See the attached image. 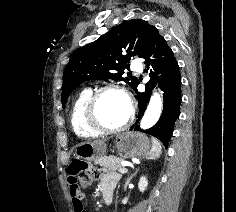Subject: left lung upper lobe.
<instances>
[{
	"instance_id": "5c2ea615",
	"label": "left lung upper lobe",
	"mask_w": 236,
	"mask_h": 212,
	"mask_svg": "<svg viewBox=\"0 0 236 212\" xmlns=\"http://www.w3.org/2000/svg\"><path fill=\"white\" fill-rule=\"evenodd\" d=\"M154 26L142 19H131L115 26L96 41L80 48L63 74L62 105L72 91L88 80H120L136 89V77H122L131 57L142 58Z\"/></svg>"
}]
</instances>
